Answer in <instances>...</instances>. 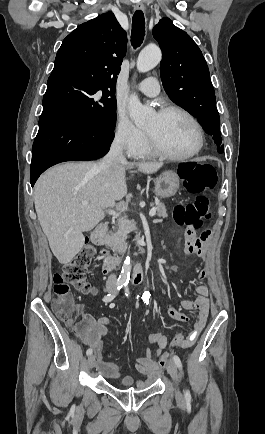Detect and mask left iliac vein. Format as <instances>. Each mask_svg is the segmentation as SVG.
I'll use <instances>...</instances> for the list:
<instances>
[{"instance_id": "obj_1", "label": "left iliac vein", "mask_w": 265, "mask_h": 434, "mask_svg": "<svg viewBox=\"0 0 265 434\" xmlns=\"http://www.w3.org/2000/svg\"><path fill=\"white\" fill-rule=\"evenodd\" d=\"M167 371L171 375L172 380L174 382H177L178 381V370H177L175 362L171 359L168 360V362H167ZM176 398H177V401L179 403H181V404L184 403L183 395L178 388L176 389Z\"/></svg>"}]
</instances>
